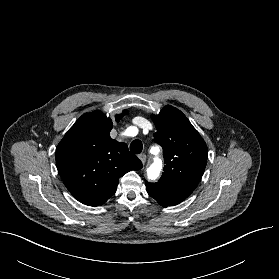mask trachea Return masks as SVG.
Segmentation results:
<instances>
[{"instance_id": "1", "label": "trachea", "mask_w": 279, "mask_h": 279, "mask_svg": "<svg viewBox=\"0 0 279 279\" xmlns=\"http://www.w3.org/2000/svg\"><path fill=\"white\" fill-rule=\"evenodd\" d=\"M143 149V144L139 140H135L130 144V151L134 154H140Z\"/></svg>"}]
</instances>
